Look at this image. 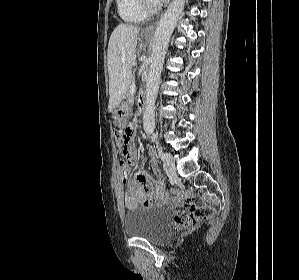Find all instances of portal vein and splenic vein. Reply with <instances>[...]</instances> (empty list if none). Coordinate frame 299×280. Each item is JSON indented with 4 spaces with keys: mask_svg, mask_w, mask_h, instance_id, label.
Wrapping results in <instances>:
<instances>
[{
    "mask_svg": "<svg viewBox=\"0 0 299 280\" xmlns=\"http://www.w3.org/2000/svg\"><path fill=\"white\" fill-rule=\"evenodd\" d=\"M136 89V86L135 84L133 83L131 86H130V92H134Z\"/></svg>",
    "mask_w": 299,
    "mask_h": 280,
    "instance_id": "1",
    "label": "portal vein and splenic vein"
}]
</instances>
